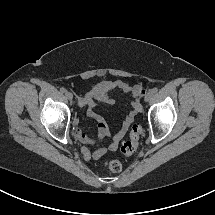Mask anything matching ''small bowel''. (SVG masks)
<instances>
[{
	"label": "small bowel",
	"instance_id": "1",
	"mask_svg": "<svg viewBox=\"0 0 215 215\" xmlns=\"http://www.w3.org/2000/svg\"><path fill=\"white\" fill-rule=\"evenodd\" d=\"M115 90L129 93L134 99L119 131L112 134L104 117L96 113L95 108L98 104H113L114 99L110 96V93ZM144 93L145 89L141 85H130L122 80H104L94 85L90 91L79 99V105L87 108V116L94 118L97 122V133L93 137L88 136L82 127L76 126L74 128L75 138L84 145L81 151L86 160H97L106 153L107 149L116 150L118 148L135 115L142 110L140 99ZM106 138H110L108 147L102 145ZM88 146H95L96 149L91 152Z\"/></svg>",
	"mask_w": 215,
	"mask_h": 215
}]
</instances>
